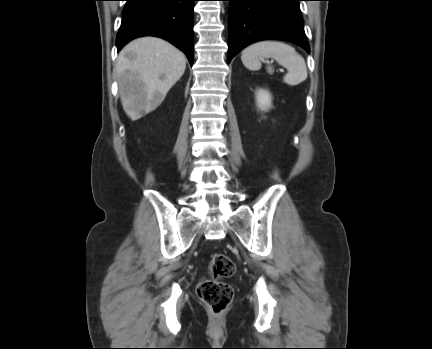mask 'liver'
<instances>
[{"mask_svg":"<svg viewBox=\"0 0 432 349\" xmlns=\"http://www.w3.org/2000/svg\"><path fill=\"white\" fill-rule=\"evenodd\" d=\"M185 69V55L162 39L143 37L128 43L116 64L124 111L132 120L154 111Z\"/></svg>","mask_w":432,"mask_h":349,"instance_id":"liver-1","label":"liver"}]
</instances>
